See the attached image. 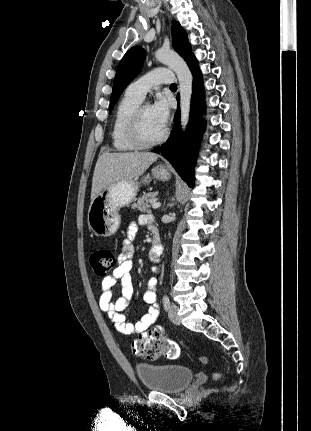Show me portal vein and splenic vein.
I'll list each match as a JSON object with an SVG mask.
<instances>
[{"instance_id": "1", "label": "portal vein and splenic vein", "mask_w": 311, "mask_h": 431, "mask_svg": "<svg viewBox=\"0 0 311 431\" xmlns=\"http://www.w3.org/2000/svg\"><path fill=\"white\" fill-rule=\"evenodd\" d=\"M151 206L153 210H157V208H160L161 204L160 202H152Z\"/></svg>"}]
</instances>
